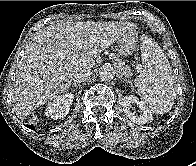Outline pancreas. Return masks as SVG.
<instances>
[{
    "instance_id": "pancreas-1",
    "label": "pancreas",
    "mask_w": 196,
    "mask_h": 166,
    "mask_svg": "<svg viewBox=\"0 0 196 166\" xmlns=\"http://www.w3.org/2000/svg\"><path fill=\"white\" fill-rule=\"evenodd\" d=\"M119 69L122 72L125 77L130 78L131 76V70L128 66H126L124 63H120Z\"/></svg>"
}]
</instances>
